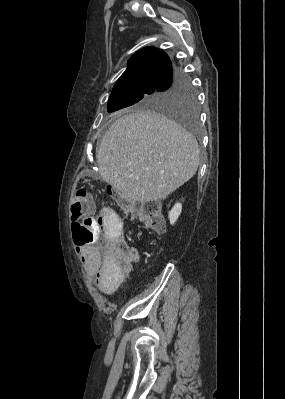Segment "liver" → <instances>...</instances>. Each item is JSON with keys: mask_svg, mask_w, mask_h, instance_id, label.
<instances>
[{"mask_svg": "<svg viewBox=\"0 0 285 399\" xmlns=\"http://www.w3.org/2000/svg\"><path fill=\"white\" fill-rule=\"evenodd\" d=\"M99 174L123 198L153 202L191 179L199 166L196 139L174 121L152 112L115 120L96 153Z\"/></svg>", "mask_w": 285, "mask_h": 399, "instance_id": "6515ba94", "label": "liver"}]
</instances>
